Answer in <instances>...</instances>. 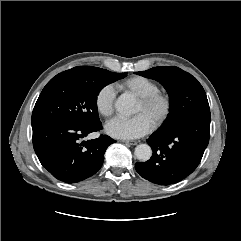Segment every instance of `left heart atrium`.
Returning <instances> with one entry per match:
<instances>
[{"instance_id":"39dd6f15","label":"left heart atrium","mask_w":241,"mask_h":241,"mask_svg":"<svg viewBox=\"0 0 241 241\" xmlns=\"http://www.w3.org/2000/svg\"><path fill=\"white\" fill-rule=\"evenodd\" d=\"M105 129L112 137L134 139L147 134L152 129V122L144 113H139L132 118L115 117Z\"/></svg>"}]
</instances>
